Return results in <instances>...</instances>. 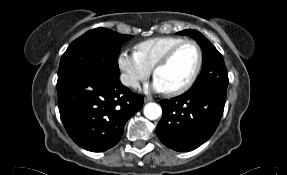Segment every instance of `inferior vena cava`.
<instances>
[{
    "label": "inferior vena cava",
    "instance_id": "602c4592",
    "mask_svg": "<svg viewBox=\"0 0 287 175\" xmlns=\"http://www.w3.org/2000/svg\"><path fill=\"white\" fill-rule=\"evenodd\" d=\"M121 82L126 86L135 87L137 85V81L133 77L126 74L121 75Z\"/></svg>",
    "mask_w": 287,
    "mask_h": 175
}]
</instances>
